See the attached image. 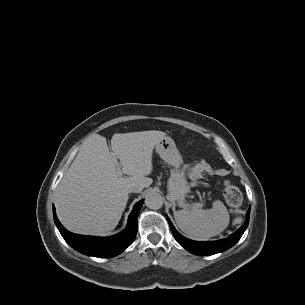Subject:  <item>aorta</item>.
<instances>
[{
  "label": "aorta",
  "instance_id": "aorta-1",
  "mask_svg": "<svg viewBox=\"0 0 305 305\" xmlns=\"http://www.w3.org/2000/svg\"><path fill=\"white\" fill-rule=\"evenodd\" d=\"M145 205L152 210H158L163 206V198L159 193L151 192L145 198Z\"/></svg>",
  "mask_w": 305,
  "mask_h": 305
}]
</instances>
